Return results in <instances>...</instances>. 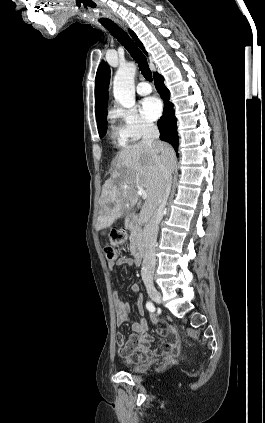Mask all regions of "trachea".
Segmentation results:
<instances>
[{
  "label": "trachea",
  "instance_id": "3493384b",
  "mask_svg": "<svg viewBox=\"0 0 265 423\" xmlns=\"http://www.w3.org/2000/svg\"><path fill=\"white\" fill-rule=\"evenodd\" d=\"M101 24L125 47L130 55L138 63L141 73L146 80L152 81V73L149 68L147 59L142 51L137 47L135 42L129 37V35L122 30L112 20L102 21Z\"/></svg>",
  "mask_w": 265,
  "mask_h": 423
}]
</instances>
